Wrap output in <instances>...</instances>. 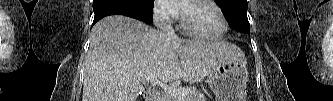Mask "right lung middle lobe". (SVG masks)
I'll return each mask as SVG.
<instances>
[{
  "label": "right lung middle lobe",
  "mask_w": 333,
  "mask_h": 101,
  "mask_svg": "<svg viewBox=\"0 0 333 101\" xmlns=\"http://www.w3.org/2000/svg\"><path fill=\"white\" fill-rule=\"evenodd\" d=\"M146 15L152 20L154 0H136Z\"/></svg>",
  "instance_id": "obj_1"
}]
</instances>
